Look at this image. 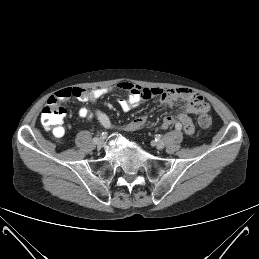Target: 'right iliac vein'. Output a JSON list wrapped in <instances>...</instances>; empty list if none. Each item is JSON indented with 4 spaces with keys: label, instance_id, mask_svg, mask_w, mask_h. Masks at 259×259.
Instances as JSON below:
<instances>
[{
    "label": "right iliac vein",
    "instance_id": "right-iliac-vein-1",
    "mask_svg": "<svg viewBox=\"0 0 259 259\" xmlns=\"http://www.w3.org/2000/svg\"><path fill=\"white\" fill-rule=\"evenodd\" d=\"M99 140H98V142H96V145L98 146V147H103L104 145H105V141H104V139L103 138H98Z\"/></svg>",
    "mask_w": 259,
    "mask_h": 259
}]
</instances>
